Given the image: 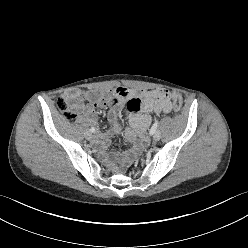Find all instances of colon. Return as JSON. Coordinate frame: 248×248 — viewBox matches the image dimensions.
Returning a JSON list of instances; mask_svg holds the SVG:
<instances>
[{"label":"colon","instance_id":"1","mask_svg":"<svg viewBox=\"0 0 248 248\" xmlns=\"http://www.w3.org/2000/svg\"><path fill=\"white\" fill-rule=\"evenodd\" d=\"M163 95L168 97L172 102L174 112H179L182 108V98L178 93H172L167 90H163ZM78 97L82 98L83 93H79ZM57 107L64 113L68 119H73L76 116V112L70 108L68 99L62 95L57 101Z\"/></svg>","mask_w":248,"mask_h":248}]
</instances>
